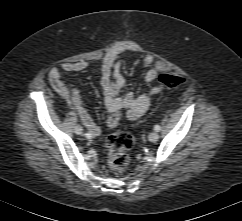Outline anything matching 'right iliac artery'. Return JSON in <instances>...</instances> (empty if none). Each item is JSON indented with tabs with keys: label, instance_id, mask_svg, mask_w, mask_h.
<instances>
[{
	"label": "right iliac artery",
	"instance_id": "obj_1",
	"mask_svg": "<svg viewBox=\"0 0 242 221\" xmlns=\"http://www.w3.org/2000/svg\"><path fill=\"white\" fill-rule=\"evenodd\" d=\"M85 136H86V138H90L91 134L90 133H86Z\"/></svg>",
	"mask_w": 242,
	"mask_h": 221
}]
</instances>
